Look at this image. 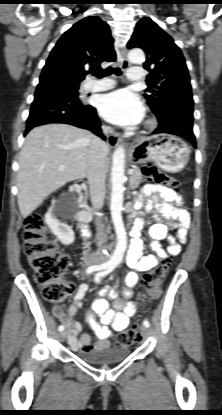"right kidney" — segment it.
Here are the masks:
<instances>
[{
    "label": "right kidney",
    "mask_w": 222,
    "mask_h": 415,
    "mask_svg": "<svg viewBox=\"0 0 222 415\" xmlns=\"http://www.w3.org/2000/svg\"><path fill=\"white\" fill-rule=\"evenodd\" d=\"M57 216L55 209L52 207L45 215V222L62 244L69 245L74 242L75 234L72 228L61 222Z\"/></svg>",
    "instance_id": "1"
}]
</instances>
